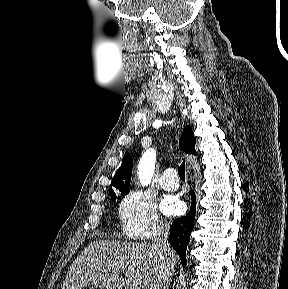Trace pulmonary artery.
I'll use <instances>...</instances> for the list:
<instances>
[{
	"label": "pulmonary artery",
	"mask_w": 288,
	"mask_h": 289,
	"mask_svg": "<svg viewBox=\"0 0 288 289\" xmlns=\"http://www.w3.org/2000/svg\"><path fill=\"white\" fill-rule=\"evenodd\" d=\"M160 185L166 191H175L178 188L179 180L173 169H167L163 172Z\"/></svg>",
	"instance_id": "pulmonary-artery-1"
}]
</instances>
